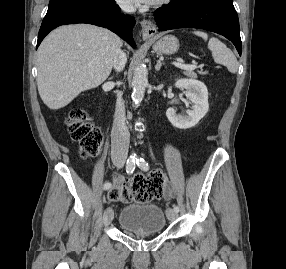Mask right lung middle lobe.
Listing matches in <instances>:
<instances>
[{"mask_svg":"<svg viewBox=\"0 0 286 269\" xmlns=\"http://www.w3.org/2000/svg\"><path fill=\"white\" fill-rule=\"evenodd\" d=\"M75 2H90L104 9H110L115 5L114 0H50L48 11Z\"/></svg>","mask_w":286,"mask_h":269,"instance_id":"right-lung-middle-lobe-1","label":"right lung middle lobe"}]
</instances>
